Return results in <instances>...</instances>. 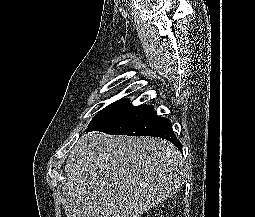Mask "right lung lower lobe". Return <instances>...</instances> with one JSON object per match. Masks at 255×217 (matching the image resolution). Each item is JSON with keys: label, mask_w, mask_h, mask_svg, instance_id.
<instances>
[{"label": "right lung lower lobe", "mask_w": 255, "mask_h": 217, "mask_svg": "<svg viewBox=\"0 0 255 217\" xmlns=\"http://www.w3.org/2000/svg\"><path fill=\"white\" fill-rule=\"evenodd\" d=\"M89 131H101L112 135L160 137L182 150V144L174 135L170 120L158 116L151 105L126 104L89 124L87 132Z\"/></svg>", "instance_id": "98d812e1"}]
</instances>
